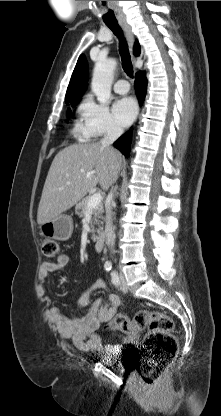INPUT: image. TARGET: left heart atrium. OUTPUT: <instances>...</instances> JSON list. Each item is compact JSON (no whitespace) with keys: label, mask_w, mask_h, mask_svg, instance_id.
Masks as SVG:
<instances>
[{"label":"left heart atrium","mask_w":221,"mask_h":416,"mask_svg":"<svg viewBox=\"0 0 221 416\" xmlns=\"http://www.w3.org/2000/svg\"><path fill=\"white\" fill-rule=\"evenodd\" d=\"M113 112L119 124L126 127L132 123L137 114V104L133 98L123 97L114 103Z\"/></svg>","instance_id":"1"}]
</instances>
